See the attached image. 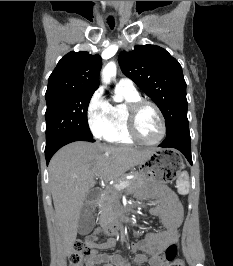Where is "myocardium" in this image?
I'll list each match as a JSON object with an SVG mask.
<instances>
[{"mask_svg": "<svg viewBox=\"0 0 233 266\" xmlns=\"http://www.w3.org/2000/svg\"><path fill=\"white\" fill-rule=\"evenodd\" d=\"M144 106H151L157 113L160 123H161V132L159 137L154 140V141H146L140 137L137 131V116L139 111L144 107ZM125 113H126V124H127V130L130 138L139 144L146 145V146H155L160 144L165 135H166V121L164 118V115L161 111V109L158 107L156 103L150 100L146 99H137L134 101H131L127 103L126 108H125Z\"/></svg>", "mask_w": 233, "mask_h": 266, "instance_id": "myocardium-1", "label": "myocardium"}]
</instances>
